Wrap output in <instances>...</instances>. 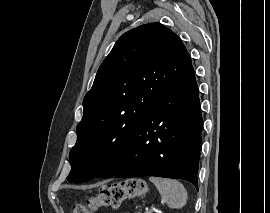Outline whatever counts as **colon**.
<instances>
[{"label":"colon","mask_w":270,"mask_h":213,"mask_svg":"<svg viewBox=\"0 0 270 213\" xmlns=\"http://www.w3.org/2000/svg\"><path fill=\"white\" fill-rule=\"evenodd\" d=\"M148 192L142 179L130 178L101 187L99 193L87 201L72 206L71 213H96L102 207L117 208L128 198H137Z\"/></svg>","instance_id":"colon-1"}]
</instances>
